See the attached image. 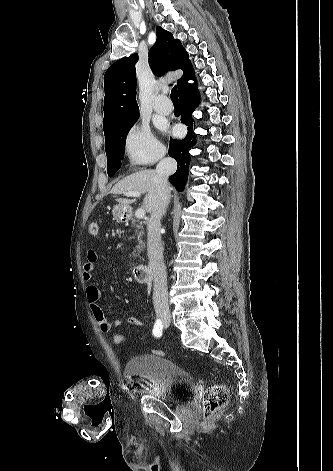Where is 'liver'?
<instances>
[{"label":"liver","mask_w":333,"mask_h":471,"mask_svg":"<svg viewBox=\"0 0 333 471\" xmlns=\"http://www.w3.org/2000/svg\"><path fill=\"white\" fill-rule=\"evenodd\" d=\"M130 191L146 193L143 201V208L147 212H152L153 206L158 199V176L155 170H142L133 173L114 185L111 194H125ZM117 201L124 206H128L135 200L119 198Z\"/></svg>","instance_id":"1"}]
</instances>
